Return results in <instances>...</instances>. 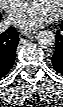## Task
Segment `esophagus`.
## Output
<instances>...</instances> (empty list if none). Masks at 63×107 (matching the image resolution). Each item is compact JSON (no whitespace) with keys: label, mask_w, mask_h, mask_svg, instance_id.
<instances>
[{"label":"esophagus","mask_w":63,"mask_h":107,"mask_svg":"<svg viewBox=\"0 0 63 107\" xmlns=\"http://www.w3.org/2000/svg\"><path fill=\"white\" fill-rule=\"evenodd\" d=\"M20 34H21L22 36L31 37V36H33L34 34H36V31L21 30V31H20Z\"/></svg>","instance_id":"obj_1"}]
</instances>
